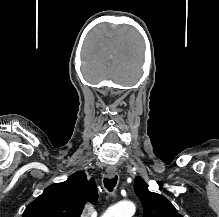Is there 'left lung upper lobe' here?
Listing matches in <instances>:
<instances>
[{
	"label": "left lung upper lobe",
	"instance_id": "5c2ea615",
	"mask_svg": "<svg viewBox=\"0 0 219 217\" xmlns=\"http://www.w3.org/2000/svg\"><path fill=\"white\" fill-rule=\"evenodd\" d=\"M134 189L142 202L144 217H182L167 198L150 192L141 177L135 178Z\"/></svg>",
	"mask_w": 219,
	"mask_h": 217
}]
</instances>
